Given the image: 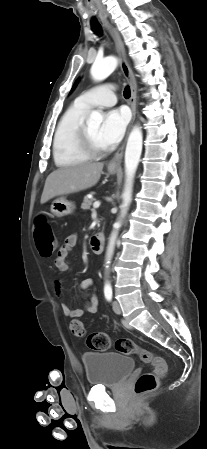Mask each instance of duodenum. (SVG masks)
I'll return each instance as SVG.
<instances>
[{"label":"duodenum","instance_id":"duodenum-1","mask_svg":"<svg viewBox=\"0 0 207 449\" xmlns=\"http://www.w3.org/2000/svg\"><path fill=\"white\" fill-rule=\"evenodd\" d=\"M104 235L102 233H98L91 237L90 246L94 253H101L104 248Z\"/></svg>","mask_w":207,"mask_h":449}]
</instances>
